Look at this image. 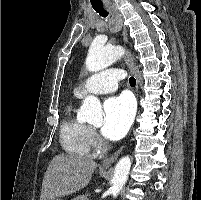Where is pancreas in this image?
I'll return each mask as SVG.
<instances>
[{
    "instance_id": "pancreas-1",
    "label": "pancreas",
    "mask_w": 201,
    "mask_h": 200,
    "mask_svg": "<svg viewBox=\"0 0 201 200\" xmlns=\"http://www.w3.org/2000/svg\"><path fill=\"white\" fill-rule=\"evenodd\" d=\"M73 200H89L88 195H79Z\"/></svg>"
}]
</instances>
